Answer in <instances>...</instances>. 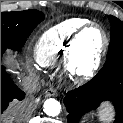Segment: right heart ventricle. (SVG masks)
<instances>
[{"instance_id":"1","label":"right heart ventricle","mask_w":123,"mask_h":123,"mask_svg":"<svg viewBox=\"0 0 123 123\" xmlns=\"http://www.w3.org/2000/svg\"><path fill=\"white\" fill-rule=\"evenodd\" d=\"M85 22L82 18L69 19L46 30L34 48L36 62L43 67L52 66L58 61L67 62L71 42Z\"/></svg>"}]
</instances>
